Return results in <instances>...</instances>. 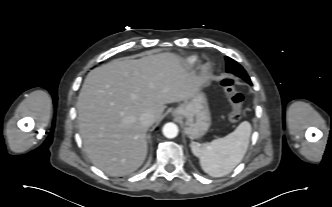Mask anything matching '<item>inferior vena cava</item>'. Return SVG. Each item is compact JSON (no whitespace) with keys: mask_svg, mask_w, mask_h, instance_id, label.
I'll list each match as a JSON object with an SVG mask.
<instances>
[{"mask_svg":"<svg viewBox=\"0 0 332 207\" xmlns=\"http://www.w3.org/2000/svg\"><path fill=\"white\" fill-rule=\"evenodd\" d=\"M155 121V117L151 112L143 113L140 116V122L144 127H150Z\"/></svg>","mask_w":332,"mask_h":207,"instance_id":"1","label":"inferior vena cava"}]
</instances>
